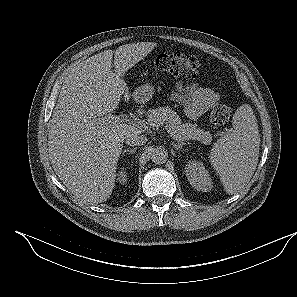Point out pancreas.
Returning <instances> with one entry per match:
<instances>
[{"instance_id": "1", "label": "pancreas", "mask_w": 297, "mask_h": 297, "mask_svg": "<svg viewBox=\"0 0 297 297\" xmlns=\"http://www.w3.org/2000/svg\"><path fill=\"white\" fill-rule=\"evenodd\" d=\"M150 125L167 124L182 140H198L204 144H210L212 136L208 131L197 128L196 124L182 123L181 118L168 106L150 109L148 111Z\"/></svg>"}]
</instances>
